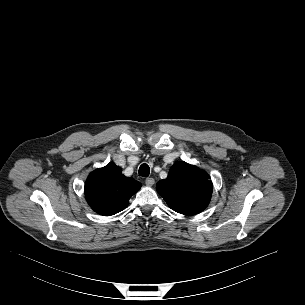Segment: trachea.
<instances>
[{"label":"trachea","instance_id":"trachea-1","mask_svg":"<svg viewBox=\"0 0 305 305\" xmlns=\"http://www.w3.org/2000/svg\"><path fill=\"white\" fill-rule=\"evenodd\" d=\"M150 174V168L147 164H142L139 167V175L142 177H148Z\"/></svg>","mask_w":305,"mask_h":305}]
</instances>
